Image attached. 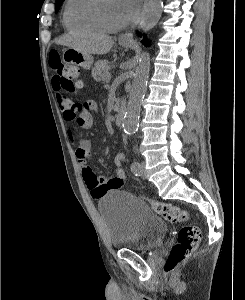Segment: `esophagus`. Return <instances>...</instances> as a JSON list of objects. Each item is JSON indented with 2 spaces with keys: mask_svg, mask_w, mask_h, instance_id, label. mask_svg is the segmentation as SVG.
<instances>
[{
  "mask_svg": "<svg viewBox=\"0 0 245 300\" xmlns=\"http://www.w3.org/2000/svg\"><path fill=\"white\" fill-rule=\"evenodd\" d=\"M148 0H145V3L147 2ZM134 28V27H133ZM119 41H123V42H130V41H133V31H128V32H125L123 34H121L119 36Z\"/></svg>",
  "mask_w": 245,
  "mask_h": 300,
  "instance_id": "obj_1",
  "label": "esophagus"
}]
</instances>
